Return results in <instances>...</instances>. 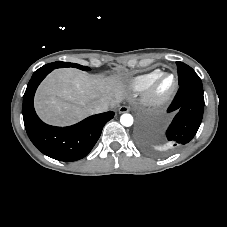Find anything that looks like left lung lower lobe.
I'll use <instances>...</instances> for the list:
<instances>
[{
	"label": "left lung lower lobe",
	"instance_id": "left-lung-lower-lobe-1",
	"mask_svg": "<svg viewBox=\"0 0 227 227\" xmlns=\"http://www.w3.org/2000/svg\"><path fill=\"white\" fill-rule=\"evenodd\" d=\"M204 110L203 88L191 84L180 85L167 112L176 111L172 123L166 131L165 139L172 150L187 144L196 134ZM144 143V138L140 137Z\"/></svg>",
	"mask_w": 227,
	"mask_h": 227
}]
</instances>
